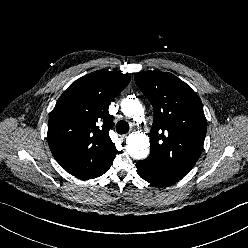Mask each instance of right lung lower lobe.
<instances>
[{"label":"right lung lower lobe","mask_w":248,"mask_h":248,"mask_svg":"<svg viewBox=\"0 0 248 248\" xmlns=\"http://www.w3.org/2000/svg\"><path fill=\"white\" fill-rule=\"evenodd\" d=\"M114 159V158H113ZM113 161V160H112ZM112 161L103 169V171L101 172V173H99L96 177H98V176H101L102 174H104L109 168H110V166H111V164H112ZM96 177H94V178H96Z\"/></svg>","instance_id":"obj_1"}]
</instances>
